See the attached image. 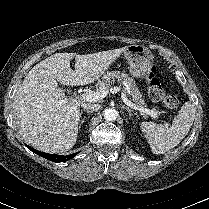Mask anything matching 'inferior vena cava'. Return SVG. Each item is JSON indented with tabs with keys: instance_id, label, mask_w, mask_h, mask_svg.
<instances>
[{
	"instance_id": "602c4592",
	"label": "inferior vena cava",
	"mask_w": 209,
	"mask_h": 209,
	"mask_svg": "<svg viewBox=\"0 0 209 209\" xmlns=\"http://www.w3.org/2000/svg\"><path fill=\"white\" fill-rule=\"evenodd\" d=\"M81 106L83 109L89 112L98 111L101 107L100 104H95V103H83Z\"/></svg>"
}]
</instances>
